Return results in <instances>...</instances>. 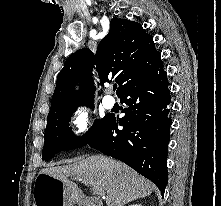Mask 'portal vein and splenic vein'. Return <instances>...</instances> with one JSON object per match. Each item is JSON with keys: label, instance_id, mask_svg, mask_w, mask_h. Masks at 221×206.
Instances as JSON below:
<instances>
[{"label": "portal vein and splenic vein", "instance_id": "obj_1", "mask_svg": "<svg viewBox=\"0 0 221 206\" xmlns=\"http://www.w3.org/2000/svg\"><path fill=\"white\" fill-rule=\"evenodd\" d=\"M92 190L95 194H98V195L102 196L103 198H105V196H104L105 193H104V191H102V189H98L96 187H93Z\"/></svg>", "mask_w": 221, "mask_h": 206}]
</instances>
